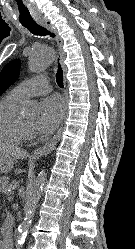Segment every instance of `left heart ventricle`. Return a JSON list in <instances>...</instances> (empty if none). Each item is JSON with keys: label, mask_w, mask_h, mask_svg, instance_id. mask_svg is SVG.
Listing matches in <instances>:
<instances>
[{"label": "left heart ventricle", "mask_w": 135, "mask_h": 249, "mask_svg": "<svg viewBox=\"0 0 135 249\" xmlns=\"http://www.w3.org/2000/svg\"><path fill=\"white\" fill-rule=\"evenodd\" d=\"M20 120H21V122H22L25 126L30 127V128H33V127H34V124H35V119H34V117L22 116V117H20Z\"/></svg>", "instance_id": "1"}]
</instances>
